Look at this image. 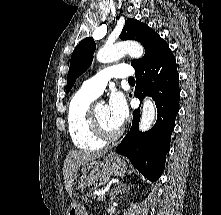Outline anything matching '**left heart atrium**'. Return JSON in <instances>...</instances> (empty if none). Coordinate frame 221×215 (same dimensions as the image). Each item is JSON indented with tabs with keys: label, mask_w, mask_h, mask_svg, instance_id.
Returning <instances> with one entry per match:
<instances>
[{
	"label": "left heart atrium",
	"mask_w": 221,
	"mask_h": 215,
	"mask_svg": "<svg viewBox=\"0 0 221 215\" xmlns=\"http://www.w3.org/2000/svg\"><path fill=\"white\" fill-rule=\"evenodd\" d=\"M110 122L121 127L128 117V106L124 95L121 92L112 93L107 105Z\"/></svg>",
	"instance_id": "obj_1"
}]
</instances>
